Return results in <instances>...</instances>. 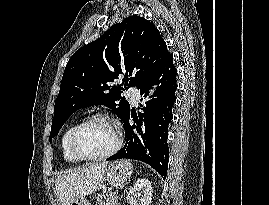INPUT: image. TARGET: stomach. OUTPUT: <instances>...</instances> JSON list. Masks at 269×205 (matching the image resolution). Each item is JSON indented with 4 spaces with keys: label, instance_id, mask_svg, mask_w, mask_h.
<instances>
[{
    "label": "stomach",
    "instance_id": "obj_1",
    "mask_svg": "<svg viewBox=\"0 0 269 205\" xmlns=\"http://www.w3.org/2000/svg\"><path fill=\"white\" fill-rule=\"evenodd\" d=\"M133 173V165L128 160H120L110 163L105 170V180L111 186H118L125 183ZM70 205H91L85 198H79Z\"/></svg>",
    "mask_w": 269,
    "mask_h": 205
}]
</instances>
